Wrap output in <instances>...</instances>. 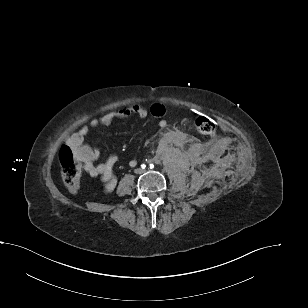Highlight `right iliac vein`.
I'll return each instance as SVG.
<instances>
[{
  "label": "right iliac vein",
  "instance_id": "63e3f726",
  "mask_svg": "<svg viewBox=\"0 0 308 308\" xmlns=\"http://www.w3.org/2000/svg\"><path fill=\"white\" fill-rule=\"evenodd\" d=\"M135 173H136V174H141V173H142V169H140V168L136 169V170H135Z\"/></svg>",
  "mask_w": 308,
  "mask_h": 308
}]
</instances>
